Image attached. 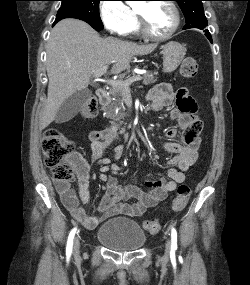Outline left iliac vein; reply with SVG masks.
I'll use <instances>...</instances> for the list:
<instances>
[{
  "label": "left iliac vein",
  "mask_w": 250,
  "mask_h": 285,
  "mask_svg": "<svg viewBox=\"0 0 250 285\" xmlns=\"http://www.w3.org/2000/svg\"><path fill=\"white\" fill-rule=\"evenodd\" d=\"M170 249H171V242H170V240H167V242H166V247H165V257H166V258H167L168 255H169Z\"/></svg>",
  "instance_id": "4c4485c4"
}]
</instances>
